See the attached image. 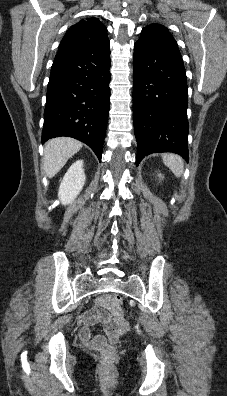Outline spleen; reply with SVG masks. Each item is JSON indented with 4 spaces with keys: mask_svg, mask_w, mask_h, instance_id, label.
I'll list each match as a JSON object with an SVG mask.
<instances>
[{
    "mask_svg": "<svg viewBox=\"0 0 227 396\" xmlns=\"http://www.w3.org/2000/svg\"><path fill=\"white\" fill-rule=\"evenodd\" d=\"M163 162L175 174V176L180 177L182 175L184 165L180 156L171 153L164 154Z\"/></svg>",
    "mask_w": 227,
    "mask_h": 396,
    "instance_id": "3e777b00",
    "label": "spleen"
}]
</instances>
